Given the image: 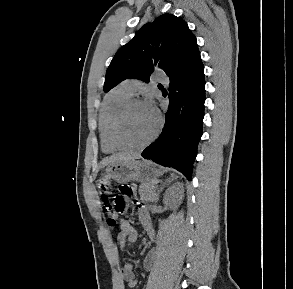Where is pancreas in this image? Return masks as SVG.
I'll use <instances>...</instances> for the list:
<instances>
[{
  "instance_id": "obj_1",
  "label": "pancreas",
  "mask_w": 293,
  "mask_h": 289,
  "mask_svg": "<svg viewBox=\"0 0 293 289\" xmlns=\"http://www.w3.org/2000/svg\"><path fill=\"white\" fill-rule=\"evenodd\" d=\"M139 194L142 200L148 202H157L158 194L156 192V187L151 182L142 183L139 186Z\"/></svg>"
}]
</instances>
